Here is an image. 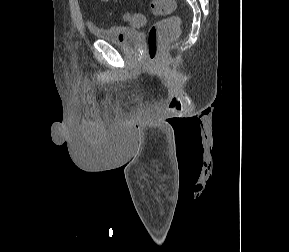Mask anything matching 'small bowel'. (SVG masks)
<instances>
[{
    "instance_id": "c3829d8e",
    "label": "small bowel",
    "mask_w": 289,
    "mask_h": 252,
    "mask_svg": "<svg viewBox=\"0 0 289 252\" xmlns=\"http://www.w3.org/2000/svg\"><path fill=\"white\" fill-rule=\"evenodd\" d=\"M102 1L108 3V2H110V1H112V0H102Z\"/></svg>"
}]
</instances>
